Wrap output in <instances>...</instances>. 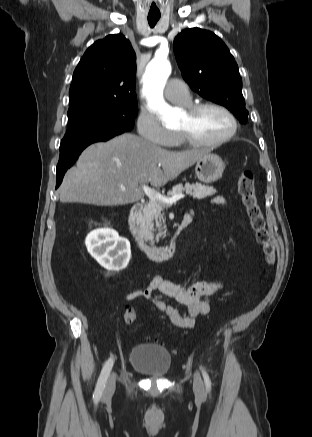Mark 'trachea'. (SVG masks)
Wrapping results in <instances>:
<instances>
[{"label":"trachea","instance_id":"1","mask_svg":"<svg viewBox=\"0 0 312 437\" xmlns=\"http://www.w3.org/2000/svg\"><path fill=\"white\" fill-rule=\"evenodd\" d=\"M148 23L150 25V27H154L156 25V23L158 22V20L160 19V15L159 14H149L148 15Z\"/></svg>","mask_w":312,"mask_h":437}]
</instances>
